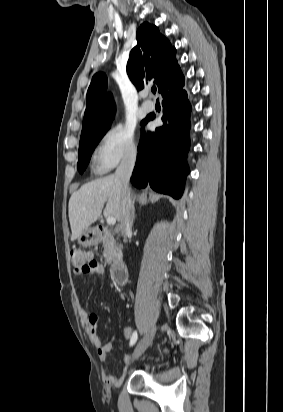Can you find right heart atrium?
I'll list each match as a JSON object with an SVG mask.
<instances>
[{
  "mask_svg": "<svg viewBox=\"0 0 283 412\" xmlns=\"http://www.w3.org/2000/svg\"><path fill=\"white\" fill-rule=\"evenodd\" d=\"M138 151L134 129L125 125H115L102 136L96 151V166L106 172L121 161L133 158Z\"/></svg>",
  "mask_w": 283,
  "mask_h": 412,
  "instance_id": "right-heart-atrium-1",
  "label": "right heart atrium"
}]
</instances>
